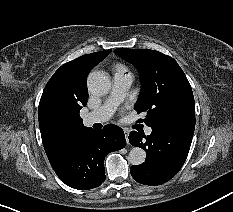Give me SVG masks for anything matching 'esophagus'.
Instances as JSON below:
<instances>
[{"label":"esophagus","mask_w":233,"mask_h":212,"mask_svg":"<svg viewBox=\"0 0 233 212\" xmlns=\"http://www.w3.org/2000/svg\"><path fill=\"white\" fill-rule=\"evenodd\" d=\"M124 133H125V138H126V141L127 143H129V139H128V136H129V132L124 130Z\"/></svg>","instance_id":"obj_1"}]
</instances>
